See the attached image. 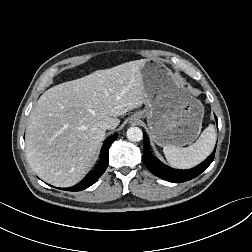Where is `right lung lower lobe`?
Masks as SVG:
<instances>
[{
    "label": "right lung lower lobe",
    "mask_w": 252,
    "mask_h": 252,
    "mask_svg": "<svg viewBox=\"0 0 252 252\" xmlns=\"http://www.w3.org/2000/svg\"><path fill=\"white\" fill-rule=\"evenodd\" d=\"M117 138V134H114L110 138L104 141V144L102 146L101 152H100V160L97 163L94 170L89 172L84 179H82L78 184L75 186L69 187V188H61L65 191H81L85 188H88L92 184H94L100 176L104 173L108 166V152L109 147L112 144V142Z\"/></svg>",
    "instance_id": "1"
}]
</instances>
